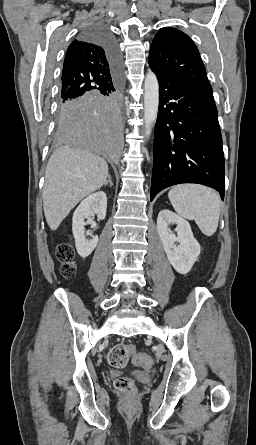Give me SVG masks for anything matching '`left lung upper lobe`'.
<instances>
[{"label":"left lung upper lobe","instance_id":"left-lung-upper-lobe-1","mask_svg":"<svg viewBox=\"0 0 256 445\" xmlns=\"http://www.w3.org/2000/svg\"><path fill=\"white\" fill-rule=\"evenodd\" d=\"M149 65L155 74L176 76L194 87L212 92L196 45L177 29L163 28L155 35L150 46Z\"/></svg>","mask_w":256,"mask_h":445}]
</instances>
